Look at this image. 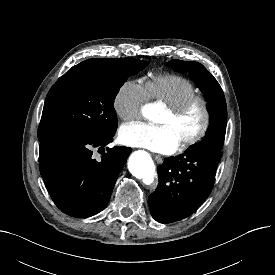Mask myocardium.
I'll return each instance as SVG.
<instances>
[{
  "label": "myocardium",
  "mask_w": 275,
  "mask_h": 275,
  "mask_svg": "<svg viewBox=\"0 0 275 275\" xmlns=\"http://www.w3.org/2000/svg\"><path fill=\"white\" fill-rule=\"evenodd\" d=\"M196 104H199L202 108L203 121L199 130L193 136L185 139L179 144V148L182 150L197 144L208 132L212 117L210 104L204 96L200 94H194L183 99L177 104L166 107V110L169 111L171 115L177 117L182 115L190 107Z\"/></svg>",
  "instance_id": "f54148a6"
}]
</instances>
